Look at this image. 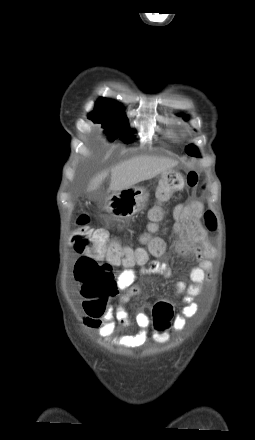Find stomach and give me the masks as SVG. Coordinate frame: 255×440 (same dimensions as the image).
<instances>
[{
    "instance_id": "stomach-1",
    "label": "stomach",
    "mask_w": 255,
    "mask_h": 440,
    "mask_svg": "<svg viewBox=\"0 0 255 440\" xmlns=\"http://www.w3.org/2000/svg\"><path fill=\"white\" fill-rule=\"evenodd\" d=\"M174 172L172 169H167L162 175L167 178ZM148 197L149 194L144 188L130 187L109 195L104 203V209L114 220L128 222L136 213L145 208Z\"/></svg>"
}]
</instances>
